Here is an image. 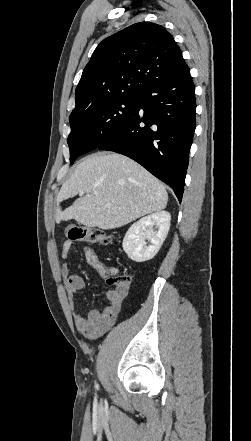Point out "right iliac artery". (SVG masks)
Instances as JSON below:
<instances>
[{
    "mask_svg": "<svg viewBox=\"0 0 251 441\" xmlns=\"http://www.w3.org/2000/svg\"><path fill=\"white\" fill-rule=\"evenodd\" d=\"M96 388H98V384H96Z\"/></svg>",
    "mask_w": 251,
    "mask_h": 441,
    "instance_id": "82829eb1",
    "label": "right iliac artery"
}]
</instances>
